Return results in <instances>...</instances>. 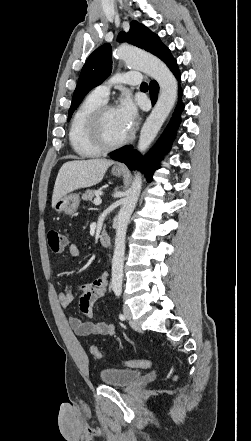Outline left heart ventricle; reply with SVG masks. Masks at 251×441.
<instances>
[{"instance_id":"1","label":"left heart ventricle","mask_w":251,"mask_h":441,"mask_svg":"<svg viewBox=\"0 0 251 441\" xmlns=\"http://www.w3.org/2000/svg\"><path fill=\"white\" fill-rule=\"evenodd\" d=\"M103 132L109 142H117L129 133L123 126L116 108L106 112L103 119Z\"/></svg>"}]
</instances>
